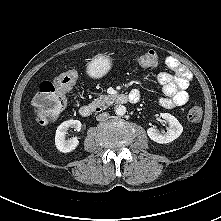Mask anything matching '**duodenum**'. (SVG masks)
Masks as SVG:
<instances>
[{
  "mask_svg": "<svg viewBox=\"0 0 221 221\" xmlns=\"http://www.w3.org/2000/svg\"><path fill=\"white\" fill-rule=\"evenodd\" d=\"M140 98L137 95H126V94H120L118 95L116 101L119 104H125L127 102H137ZM101 109L99 107H95L93 105H83L79 109V114L82 117H89L94 112H100Z\"/></svg>",
  "mask_w": 221,
  "mask_h": 221,
  "instance_id": "1",
  "label": "duodenum"
}]
</instances>
